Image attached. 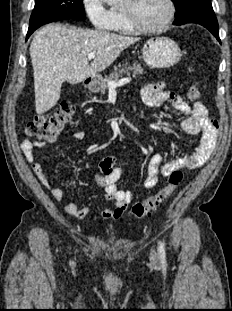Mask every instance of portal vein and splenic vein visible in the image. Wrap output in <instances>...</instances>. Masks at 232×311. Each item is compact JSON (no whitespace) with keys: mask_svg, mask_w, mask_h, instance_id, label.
<instances>
[{"mask_svg":"<svg viewBox=\"0 0 232 311\" xmlns=\"http://www.w3.org/2000/svg\"><path fill=\"white\" fill-rule=\"evenodd\" d=\"M95 56H96V52H90V53L88 54V59H89V60L94 59ZM130 81H131L130 78H123V79H121V80H119V81H117V82H115V81H110V82H108V88H109L110 90H113V89H115V88H117V87H119V86H123V85L129 83Z\"/></svg>","mask_w":232,"mask_h":311,"instance_id":"1","label":"portal vein and splenic vein"}]
</instances>
